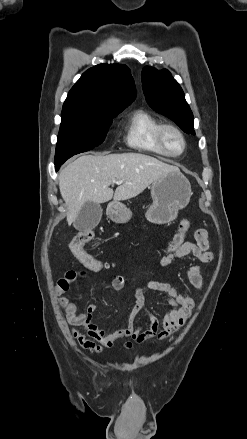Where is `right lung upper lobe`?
<instances>
[{
    "label": "right lung upper lobe",
    "mask_w": 247,
    "mask_h": 439,
    "mask_svg": "<svg viewBox=\"0 0 247 439\" xmlns=\"http://www.w3.org/2000/svg\"><path fill=\"white\" fill-rule=\"evenodd\" d=\"M136 97L126 65L99 64L88 69L69 91L62 111L109 112L125 109Z\"/></svg>",
    "instance_id": "right-lung-upper-lobe-1"
}]
</instances>
